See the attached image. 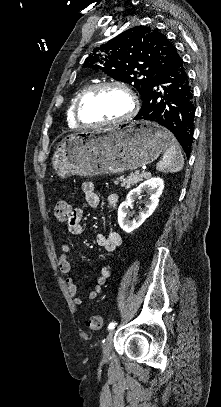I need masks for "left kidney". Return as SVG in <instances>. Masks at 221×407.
<instances>
[{
    "instance_id": "1",
    "label": "left kidney",
    "mask_w": 221,
    "mask_h": 407,
    "mask_svg": "<svg viewBox=\"0 0 221 407\" xmlns=\"http://www.w3.org/2000/svg\"><path fill=\"white\" fill-rule=\"evenodd\" d=\"M164 189V181L159 177L149 178L148 180L141 183L137 188L131 190L124 202H122L118 208V224L122 230L127 233H131L139 226H141L144 221L152 215L156 209L159 197L162 195ZM147 192L150 194L149 201L146 203L143 211L140 212L135 219L129 220L130 216L129 207H131L134 200L142 193Z\"/></svg>"
}]
</instances>
